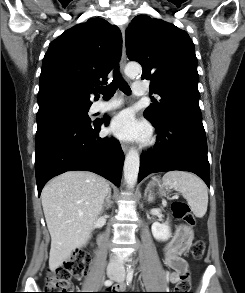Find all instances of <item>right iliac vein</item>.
Listing matches in <instances>:
<instances>
[{
	"mask_svg": "<svg viewBox=\"0 0 245 293\" xmlns=\"http://www.w3.org/2000/svg\"><path fill=\"white\" fill-rule=\"evenodd\" d=\"M107 274H108V276H109L110 278H112V279L116 278L117 275H118V273H116V272H114V271H112V270H108Z\"/></svg>",
	"mask_w": 245,
	"mask_h": 293,
	"instance_id": "obj_1",
	"label": "right iliac vein"
}]
</instances>
